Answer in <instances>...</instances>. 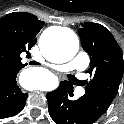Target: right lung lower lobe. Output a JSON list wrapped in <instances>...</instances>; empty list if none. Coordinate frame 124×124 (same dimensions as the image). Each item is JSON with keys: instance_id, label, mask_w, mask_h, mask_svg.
Returning <instances> with one entry per match:
<instances>
[{"instance_id": "obj_1", "label": "right lung lower lobe", "mask_w": 124, "mask_h": 124, "mask_svg": "<svg viewBox=\"0 0 124 124\" xmlns=\"http://www.w3.org/2000/svg\"><path fill=\"white\" fill-rule=\"evenodd\" d=\"M15 72L0 74V119L19 113L25 105L27 94L16 84Z\"/></svg>"}]
</instances>
